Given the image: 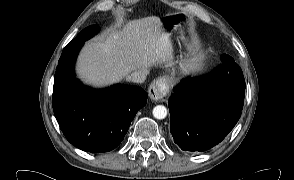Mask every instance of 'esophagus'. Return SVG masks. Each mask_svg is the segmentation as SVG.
I'll list each match as a JSON object with an SVG mask.
<instances>
[{
  "instance_id": "1",
  "label": "esophagus",
  "mask_w": 294,
  "mask_h": 180,
  "mask_svg": "<svg viewBox=\"0 0 294 180\" xmlns=\"http://www.w3.org/2000/svg\"><path fill=\"white\" fill-rule=\"evenodd\" d=\"M172 77L165 75L159 77L154 83L149 86V97L154 101H164L169 93Z\"/></svg>"
}]
</instances>
